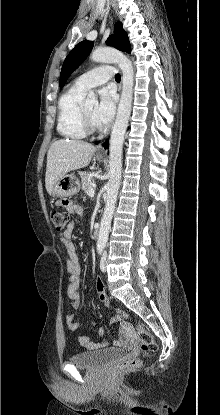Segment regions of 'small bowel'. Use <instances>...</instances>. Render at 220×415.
I'll list each match as a JSON object with an SVG mask.
<instances>
[{"label": "small bowel", "instance_id": "c3829d8e", "mask_svg": "<svg viewBox=\"0 0 220 415\" xmlns=\"http://www.w3.org/2000/svg\"><path fill=\"white\" fill-rule=\"evenodd\" d=\"M67 210L75 215L83 216V209L82 207L77 204H70L67 206ZM74 228V222L70 221L64 230V232L59 236V243L65 250L67 257H68V263H67V270L70 274L69 278V285H68V295L70 300L72 301V307L74 309H77L79 306L80 301V295H79V286H80V264L79 259L76 254L74 243L71 240L72 232ZM96 290L98 293L105 292V284L98 280L96 282ZM66 322L69 330L76 331L79 328V323L76 320V316L74 313H69L66 317ZM98 336H103L105 334V329L99 328L97 330ZM78 342L83 347L89 349V350H95V349H102L107 347L109 344L104 342H93L89 339L86 335H79L78 336ZM121 339H116L113 341L114 345L121 344Z\"/></svg>", "mask_w": 220, "mask_h": 415}]
</instances>
